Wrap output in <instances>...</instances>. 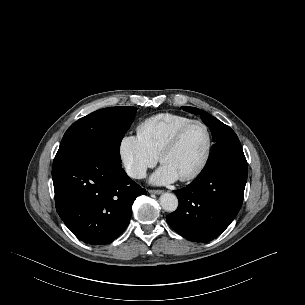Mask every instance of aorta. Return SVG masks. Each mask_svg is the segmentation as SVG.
Returning a JSON list of instances; mask_svg holds the SVG:
<instances>
[{
    "label": "aorta",
    "instance_id": "762f6f07",
    "mask_svg": "<svg viewBox=\"0 0 305 305\" xmlns=\"http://www.w3.org/2000/svg\"><path fill=\"white\" fill-rule=\"evenodd\" d=\"M160 205L166 212H174L178 207V199L172 193H163L160 196Z\"/></svg>",
    "mask_w": 305,
    "mask_h": 305
}]
</instances>
